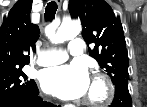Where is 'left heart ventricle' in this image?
Returning a JSON list of instances; mask_svg holds the SVG:
<instances>
[{
    "label": "left heart ventricle",
    "mask_w": 147,
    "mask_h": 107,
    "mask_svg": "<svg viewBox=\"0 0 147 107\" xmlns=\"http://www.w3.org/2000/svg\"><path fill=\"white\" fill-rule=\"evenodd\" d=\"M100 92L99 86L96 84L91 83L89 90L87 92V96H96Z\"/></svg>",
    "instance_id": "b2bd125f"
}]
</instances>
